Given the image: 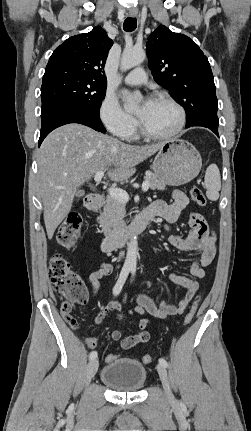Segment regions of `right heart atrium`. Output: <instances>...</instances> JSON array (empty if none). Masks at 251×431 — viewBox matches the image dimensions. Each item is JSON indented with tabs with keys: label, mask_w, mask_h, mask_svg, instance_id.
<instances>
[{
	"label": "right heart atrium",
	"mask_w": 251,
	"mask_h": 431,
	"mask_svg": "<svg viewBox=\"0 0 251 431\" xmlns=\"http://www.w3.org/2000/svg\"><path fill=\"white\" fill-rule=\"evenodd\" d=\"M99 116L102 124L112 134L127 139L135 133L137 122L119 104L117 99L106 95L100 105Z\"/></svg>",
	"instance_id": "obj_1"
}]
</instances>
